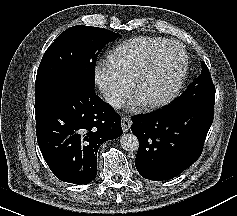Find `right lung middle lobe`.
Here are the masks:
<instances>
[{
	"label": "right lung middle lobe",
	"mask_w": 237,
	"mask_h": 216,
	"mask_svg": "<svg viewBox=\"0 0 237 216\" xmlns=\"http://www.w3.org/2000/svg\"><path fill=\"white\" fill-rule=\"evenodd\" d=\"M118 36L103 28L83 25L62 32L40 62L36 76L35 106L72 84L94 88L98 54L107 42Z\"/></svg>",
	"instance_id": "dd1d6c3e"
}]
</instances>
